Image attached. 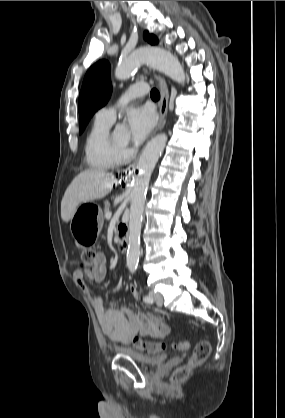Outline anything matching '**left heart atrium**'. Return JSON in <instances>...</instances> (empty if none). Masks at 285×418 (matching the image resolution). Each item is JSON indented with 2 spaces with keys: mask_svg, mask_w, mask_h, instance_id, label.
<instances>
[{
  "mask_svg": "<svg viewBox=\"0 0 285 418\" xmlns=\"http://www.w3.org/2000/svg\"><path fill=\"white\" fill-rule=\"evenodd\" d=\"M130 141L138 145L142 143L156 124L154 111L149 107H137L127 114Z\"/></svg>",
  "mask_w": 285,
  "mask_h": 418,
  "instance_id": "left-heart-atrium-1",
  "label": "left heart atrium"
}]
</instances>
